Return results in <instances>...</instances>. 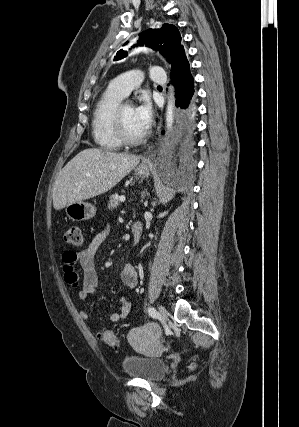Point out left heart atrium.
<instances>
[{
    "label": "left heart atrium",
    "instance_id": "1",
    "mask_svg": "<svg viewBox=\"0 0 299 427\" xmlns=\"http://www.w3.org/2000/svg\"><path fill=\"white\" fill-rule=\"evenodd\" d=\"M134 114L140 127L146 131L152 122V109L150 103L147 100L142 101L134 108Z\"/></svg>",
    "mask_w": 299,
    "mask_h": 427
}]
</instances>
